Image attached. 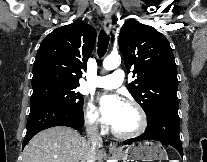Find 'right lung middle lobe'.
<instances>
[{"label": "right lung middle lobe", "instance_id": "obj_1", "mask_svg": "<svg viewBox=\"0 0 207 162\" xmlns=\"http://www.w3.org/2000/svg\"><path fill=\"white\" fill-rule=\"evenodd\" d=\"M77 87L63 84H46L33 87L31 104L51 101L82 112L83 97L76 91Z\"/></svg>", "mask_w": 207, "mask_h": 162}]
</instances>
